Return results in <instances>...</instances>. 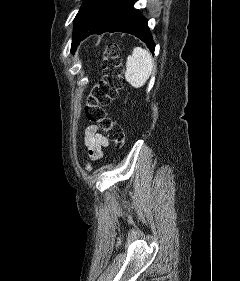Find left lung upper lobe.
<instances>
[{
	"label": "left lung upper lobe",
	"mask_w": 240,
	"mask_h": 281,
	"mask_svg": "<svg viewBox=\"0 0 240 281\" xmlns=\"http://www.w3.org/2000/svg\"><path fill=\"white\" fill-rule=\"evenodd\" d=\"M102 1L103 0H84L79 12L77 13L74 19L73 41L71 45L72 51H74L77 38L82 28L93 15L95 10L99 7V5L102 3Z\"/></svg>",
	"instance_id": "obj_1"
}]
</instances>
